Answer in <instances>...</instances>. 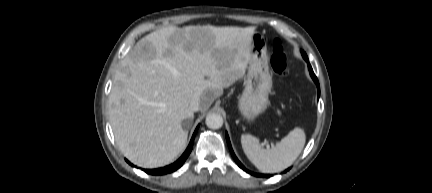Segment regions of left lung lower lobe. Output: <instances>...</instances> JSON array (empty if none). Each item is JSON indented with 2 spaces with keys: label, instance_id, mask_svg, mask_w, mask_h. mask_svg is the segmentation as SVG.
<instances>
[{
  "label": "left lung lower lobe",
  "instance_id": "1",
  "mask_svg": "<svg viewBox=\"0 0 432 193\" xmlns=\"http://www.w3.org/2000/svg\"><path fill=\"white\" fill-rule=\"evenodd\" d=\"M302 56H303V58L305 59V61L308 63L309 72H310V75H311L312 79L314 80V82H315L316 85H317V88H318V97H319V95H320V86H319L318 79H317V77L315 76V74H314V72H313V70H312V67H311V65H310V63H309V60H308V57H307L306 53H302ZM226 139H227V143H228V147H229V149H230V152H231V154H232L234 160L236 161V163L238 164V166H239L240 168H242L243 170L247 171L248 173H251V174L254 175V176H259V177H269V176H270V175H260V174L252 173V172H249L248 170H246V168H245V167L240 163V161H239V160L237 159V157L235 156V154H234V152H233V150H232V147H231V144H230V140H229V137H228V134H227V133H226ZM286 171H287V170H286Z\"/></svg>",
  "mask_w": 432,
  "mask_h": 193
}]
</instances>
